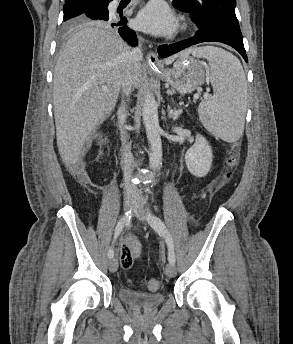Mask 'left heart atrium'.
I'll return each mask as SVG.
<instances>
[{
    "label": "left heart atrium",
    "instance_id": "1",
    "mask_svg": "<svg viewBox=\"0 0 293 344\" xmlns=\"http://www.w3.org/2000/svg\"><path fill=\"white\" fill-rule=\"evenodd\" d=\"M136 25L151 34L166 35L175 29L176 19L161 0H155L139 13Z\"/></svg>",
    "mask_w": 293,
    "mask_h": 344
}]
</instances>
